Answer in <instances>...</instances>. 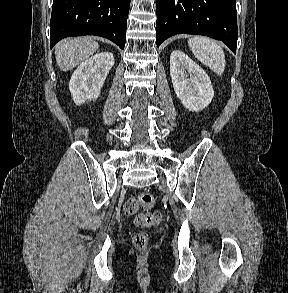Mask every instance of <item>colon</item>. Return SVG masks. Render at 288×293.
<instances>
[{
  "label": "colon",
  "instance_id": "colon-1",
  "mask_svg": "<svg viewBox=\"0 0 288 293\" xmlns=\"http://www.w3.org/2000/svg\"><path fill=\"white\" fill-rule=\"evenodd\" d=\"M153 203L154 199L152 195L143 193L127 200L124 205V212L127 215L137 214L135 217V223L139 227L153 226L158 223L161 218L159 212H148ZM132 244L136 250L144 251L148 247L149 239L147 235L138 233L133 236Z\"/></svg>",
  "mask_w": 288,
  "mask_h": 293
}]
</instances>
